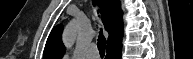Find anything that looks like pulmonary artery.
<instances>
[{
  "mask_svg": "<svg viewBox=\"0 0 193 59\" xmlns=\"http://www.w3.org/2000/svg\"><path fill=\"white\" fill-rule=\"evenodd\" d=\"M97 52L94 49L93 46H90V48L88 49V51L86 52V58L87 59H96L97 58Z\"/></svg>",
  "mask_w": 193,
  "mask_h": 59,
  "instance_id": "e3ab8cb5",
  "label": "pulmonary artery"
}]
</instances>
